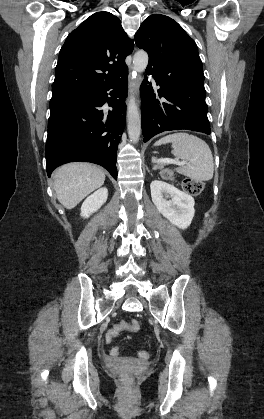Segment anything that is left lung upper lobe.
<instances>
[{
    "mask_svg": "<svg viewBox=\"0 0 264 419\" xmlns=\"http://www.w3.org/2000/svg\"><path fill=\"white\" fill-rule=\"evenodd\" d=\"M135 43L149 54L146 71L155 73L161 80L182 81L188 88L204 84L196 43L170 17L149 16L136 32Z\"/></svg>",
    "mask_w": 264,
    "mask_h": 419,
    "instance_id": "left-lung-upper-lobe-1",
    "label": "left lung upper lobe"
}]
</instances>
